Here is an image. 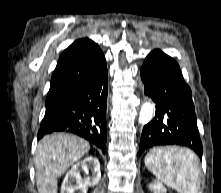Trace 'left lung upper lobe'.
I'll return each mask as SVG.
<instances>
[{
	"mask_svg": "<svg viewBox=\"0 0 221 193\" xmlns=\"http://www.w3.org/2000/svg\"><path fill=\"white\" fill-rule=\"evenodd\" d=\"M163 117L168 123L167 125L175 126L176 116L175 112L172 109L170 110L167 109V111L163 114Z\"/></svg>",
	"mask_w": 221,
	"mask_h": 193,
	"instance_id": "left-lung-upper-lobe-1",
	"label": "left lung upper lobe"
}]
</instances>
